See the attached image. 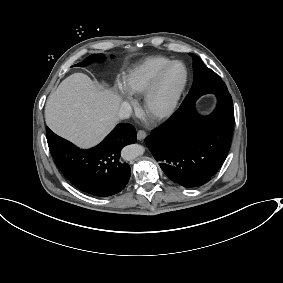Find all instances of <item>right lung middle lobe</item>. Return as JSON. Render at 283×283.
<instances>
[{
    "label": "right lung middle lobe",
    "mask_w": 283,
    "mask_h": 283,
    "mask_svg": "<svg viewBox=\"0 0 283 283\" xmlns=\"http://www.w3.org/2000/svg\"><path fill=\"white\" fill-rule=\"evenodd\" d=\"M103 59V55H91L89 57H87L84 61L74 65V66H80V67H84L89 65L90 63L94 62V61H99Z\"/></svg>",
    "instance_id": "dd1d6c3e"
}]
</instances>
